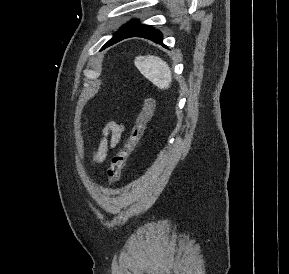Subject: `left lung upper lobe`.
<instances>
[{
	"instance_id": "left-lung-upper-lobe-1",
	"label": "left lung upper lobe",
	"mask_w": 289,
	"mask_h": 274,
	"mask_svg": "<svg viewBox=\"0 0 289 274\" xmlns=\"http://www.w3.org/2000/svg\"><path fill=\"white\" fill-rule=\"evenodd\" d=\"M140 24L136 23V22H132L127 24L126 26H124L118 33H116L112 39H110L106 44L118 40L121 37L125 36L126 34L130 33L131 31H133L134 29H136ZM105 44V45H106Z\"/></svg>"
}]
</instances>
